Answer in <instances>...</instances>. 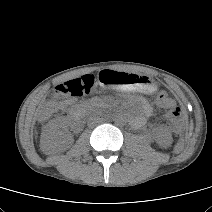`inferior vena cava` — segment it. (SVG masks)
Masks as SVG:
<instances>
[{
  "label": "inferior vena cava",
  "instance_id": "inferior-vena-cava-1",
  "mask_svg": "<svg viewBox=\"0 0 212 212\" xmlns=\"http://www.w3.org/2000/svg\"><path fill=\"white\" fill-rule=\"evenodd\" d=\"M100 122H101V118H99V117H90L88 119L89 126H94L95 124L100 123Z\"/></svg>",
  "mask_w": 212,
  "mask_h": 212
}]
</instances>
